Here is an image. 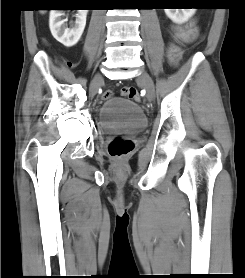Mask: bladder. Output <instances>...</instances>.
I'll return each instance as SVG.
<instances>
[{"instance_id": "1", "label": "bladder", "mask_w": 245, "mask_h": 278, "mask_svg": "<svg viewBox=\"0 0 245 278\" xmlns=\"http://www.w3.org/2000/svg\"><path fill=\"white\" fill-rule=\"evenodd\" d=\"M99 124L108 131L134 133L146 127L142 109L126 98L106 99L99 109Z\"/></svg>"}]
</instances>
